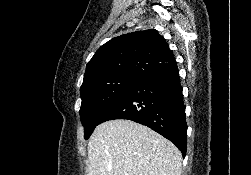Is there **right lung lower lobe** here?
<instances>
[{
	"mask_svg": "<svg viewBox=\"0 0 251 175\" xmlns=\"http://www.w3.org/2000/svg\"><path fill=\"white\" fill-rule=\"evenodd\" d=\"M128 119L146 125L173 142L186 155L187 124L177 65L131 86L100 117Z\"/></svg>",
	"mask_w": 251,
	"mask_h": 175,
	"instance_id": "right-lung-lower-lobe-1",
	"label": "right lung lower lobe"
}]
</instances>
